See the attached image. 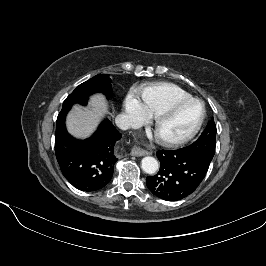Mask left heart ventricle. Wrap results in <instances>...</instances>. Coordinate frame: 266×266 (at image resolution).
Returning <instances> with one entry per match:
<instances>
[{
	"label": "left heart ventricle",
	"instance_id": "b2bd125f",
	"mask_svg": "<svg viewBox=\"0 0 266 266\" xmlns=\"http://www.w3.org/2000/svg\"><path fill=\"white\" fill-rule=\"evenodd\" d=\"M201 116V106L190 104L167 119L160 127V134L168 138H178L190 132Z\"/></svg>",
	"mask_w": 266,
	"mask_h": 266
}]
</instances>
